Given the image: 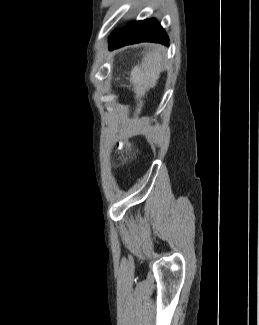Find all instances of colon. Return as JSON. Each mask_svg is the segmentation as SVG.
I'll return each instance as SVG.
<instances>
[{"instance_id":"obj_1","label":"colon","mask_w":259,"mask_h":325,"mask_svg":"<svg viewBox=\"0 0 259 325\" xmlns=\"http://www.w3.org/2000/svg\"><path fill=\"white\" fill-rule=\"evenodd\" d=\"M118 145H119L120 148H124V147L129 148V146L124 145L122 142H120Z\"/></svg>"}]
</instances>
